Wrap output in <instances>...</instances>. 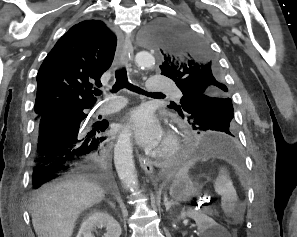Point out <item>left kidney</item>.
I'll list each match as a JSON object with an SVG mask.
<instances>
[{
    "mask_svg": "<svg viewBox=\"0 0 297 237\" xmlns=\"http://www.w3.org/2000/svg\"><path fill=\"white\" fill-rule=\"evenodd\" d=\"M185 217H190L196 222L201 237H220V225L206 214L200 211L188 210L187 212H181L179 219Z\"/></svg>",
    "mask_w": 297,
    "mask_h": 237,
    "instance_id": "obj_1",
    "label": "left kidney"
}]
</instances>
